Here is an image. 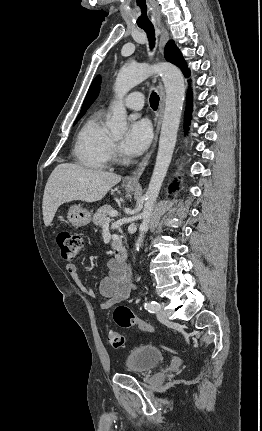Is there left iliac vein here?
Here are the masks:
<instances>
[{"mask_svg":"<svg viewBox=\"0 0 262 431\" xmlns=\"http://www.w3.org/2000/svg\"><path fill=\"white\" fill-rule=\"evenodd\" d=\"M157 318L161 322L168 321V311L165 309V303H160V308L157 311Z\"/></svg>","mask_w":262,"mask_h":431,"instance_id":"4c4485c4","label":"left iliac vein"}]
</instances>
